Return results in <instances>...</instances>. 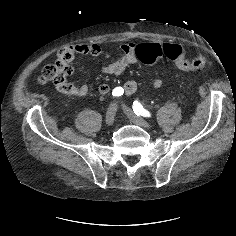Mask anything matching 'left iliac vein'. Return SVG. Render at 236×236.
I'll list each match as a JSON object with an SVG mask.
<instances>
[{
	"mask_svg": "<svg viewBox=\"0 0 236 236\" xmlns=\"http://www.w3.org/2000/svg\"><path fill=\"white\" fill-rule=\"evenodd\" d=\"M122 108H123L125 114L127 115V117L129 118V120L132 123L144 128V129H150L151 128V126L148 122H146L143 118L136 116L134 114V112L128 106L122 105Z\"/></svg>",
	"mask_w": 236,
	"mask_h": 236,
	"instance_id": "obj_1",
	"label": "left iliac vein"
}]
</instances>
